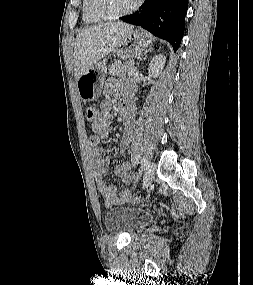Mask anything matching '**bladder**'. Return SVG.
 I'll return each instance as SVG.
<instances>
[{
    "label": "bladder",
    "mask_w": 253,
    "mask_h": 285,
    "mask_svg": "<svg viewBox=\"0 0 253 285\" xmlns=\"http://www.w3.org/2000/svg\"><path fill=\"white\" fill-rule=\"evenodd\" d=\"M151 221V214L145 210L118 206L104 215V226L112 234H134Z\"/></svg>",
    "instance_id": "obj_1"
}]
</instances>
